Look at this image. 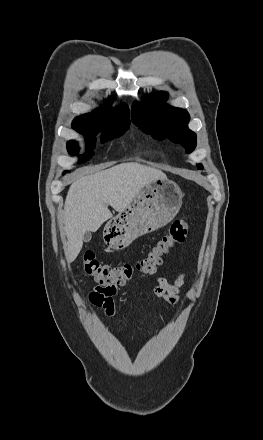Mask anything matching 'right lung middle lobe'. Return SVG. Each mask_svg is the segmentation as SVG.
<instances>
[{
	"label": "right lung middle lobe",
	"mask_w": 263,
	"mask_h": 440,
	"mask_svg": "<svg viewBox=\"0 0 263 440\" xmlns=\"http://www.w3.org/2000/svg\"><path fill=\"white\" fill-rule=\"evenodd\" d=\"M101 121L103 123L102 125L100 124L99 119H96L84 128H74L77 131L88 133L86 135L88 152L85 155L80 156V163L88 161L93 156L92 150L95 146V135L99 133V130H101L106 139H113L124 134L130 124L129 118L124 117H108L101 119ZM67 148L68 152L72 155L77 154L79 150L78 144L75 141H70Z\"/></svg>",
	"instance_id": "right-lung-middle-lobe-1"
}]
</instances>
